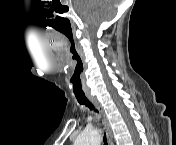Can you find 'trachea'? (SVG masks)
Returning <instances> with one entry per match:
<instances>
[{
    "label": "trachea",
    "instance_id": "1",
    "mask_svg": "<svg viewBox=\"0 0 176 145\" xmlns=\"http://www.w3.org/2000/svg\"><path fill=\"white\" fill-rule=\"evenodd\" d=\"M75 96H76L77 101L80 104L87 106L91 110H94L93 104L86 98L85 95H75ZM103 140H104V145H108L107 140H106V135H104Z\"/></svg>",
    "mask_w": 176,
    "mask_h": 145
}]
</instances>
